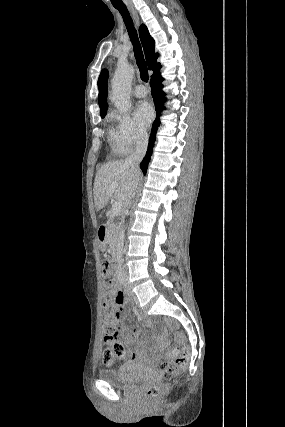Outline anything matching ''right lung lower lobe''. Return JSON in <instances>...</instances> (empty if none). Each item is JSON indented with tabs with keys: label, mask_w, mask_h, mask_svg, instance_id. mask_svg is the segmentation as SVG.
Instances as JSON below:
<instances>
[{
	"label": "right lung lower lobe",
	"mask_w": 285,
	"mask_h": 427,
	"mask_svg": "<svg viewBox=\"0 0 285 427\" xmlns=\"http://www.w3.org/2000/svg\"><path fill=\"white\" fill-rule=\"evenodd\" d=\"M162 81H163V78L161 76L151 78V80H150L151 93H152V97L154 100L157 117H156V119L152 125V130H151V135L149 138L147 153H146L144 159L142 160V162L140 163L141 170L143 171L144 174H146L147 166H148V163L150 160V156L152 154V149L154 146L156 131H157V127L159 126V119L158 118L161 114V111L163 109H165L164 106L162 105V102L164 101L163 96L165 95V93L161 90V88H162L161 82Z\"/></svg>",
	"instance_id": "right-lung-lower-lobe-1"
}]
</instances>
